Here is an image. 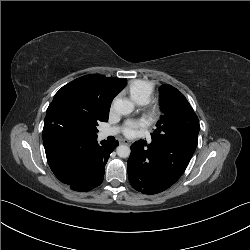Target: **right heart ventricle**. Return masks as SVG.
I'll return each instance as SVG.
<instances>
[{"label": "right heart ventricle", "mask_w": 250, "mask_h": 250, "mask_svg": "<svg viewBox=\"0 0 250 250\" xmlns=\"http://www.w3.org/2000/svg\"><path fill=\"white\" fill-rule=\"evenodd\" d=\"M127 91L135 102L139 104L148 103L154 92V84L146 80H134L128 87Z\"/></svg>", "instance_id": "obj_1"}]
</instances>
